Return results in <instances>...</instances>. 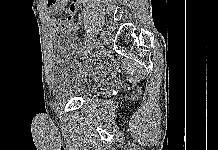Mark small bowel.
I'll return each instance as SVG.
<instances>
[{"label":"small bowel","instance_id":"1","mask_svg":"<svg viewBox=\"0 0 218 150\" xmlns=\"http://www.w3.org/2000/svg\"><path fill=\"white\" fill-rule=\"evenodd\" d=\"M67 16L65 19H58L55 15L64 11L67 4ZM80 0H55L54 2H50L48 0L47 3V10L49 14L51 15V18L49 20L51 28L55 32H76L77 27L72 21L73 15L76 13L78 6H79Z\"/></svg>","mask_w":218,"mask_h":150}]
</instances>
